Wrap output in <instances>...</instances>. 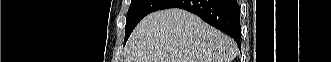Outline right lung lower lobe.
Here are the masks:
<instances>
[{
	"mask_svg": "<svg viewBox=\"0 0 331 62\" xmlns=\"http://www.w3.org/2000/svg\"><path fill=\"white\" fill-rule=\"evenodd\" d=\"M180 8L196 14L231 36L240 47V6L237 0H171L163 9Z\"/></svg>",
	"mask_w": 331,
	"mask_h": 62,
	"instance_id": "1",
	"label": "right lung lower lobe"
}]
</instances>
